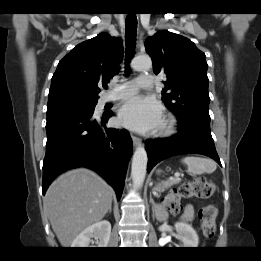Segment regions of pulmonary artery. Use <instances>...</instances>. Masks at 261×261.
<instances>
[{
	"mask_svg": "<svg viewBox=\"0 0 261 261\" xmlns=\"http://www.w3.org/2000/svg\"><path fill=\"white\" fill-rule=\"evenodd\" d=\"M136 86L145 89H151L154 86V77L152 75L141 74L137 78L123 83L121 85H117L112 91L107 92L103 95L102 101L104 103L128 98L135 94Z\"/></svg>",
	"mask_w": 261,
	"mask_h": 261,
	"instance_id": "e3ab8cb5",
	"label": "pulmonary artery"
}]
</instances>
